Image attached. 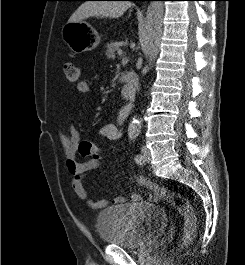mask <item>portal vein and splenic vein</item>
Wrapping results in <instances>:
<instances>
[{
    "label": "portal vein and splenic vein",
    "instance_id": "1",
    "mask_svg": "<svg viewBox=\"0 0 245 265\" xmlns=\"http://www.w3.org/2000/svg\"><path fill=\"white\" fill-rule=\"evenodd\" d=\"M117 54H118L119 56H122V54H123L122 50L119 49V50L117 51Z\"/></svg>",
    "mask_w": 245,
    "mask_h": 265
}]
</instances>
